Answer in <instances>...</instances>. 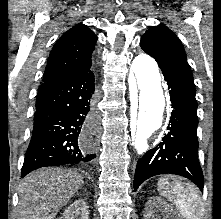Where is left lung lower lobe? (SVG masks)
Returning a JSON list of instances; mask_svg holds the SVG:
<instances>
[{
	"label": "left lung lower lobe",
	"instance_id": "0a47b994",
	"mask_svg": "<svg viewBox=\"0 0 221 219\" xmlns=\"http://www.w3.org/2000/svg\"><path fill=\"white\" fill-rule=\"evenodd\" d=\"M167 82L173 111L168 132L157 147L138 161L134 191L146 179L159 174H176L190 179L203 192L204 178L198 160L197 101L193 80L158 64Z\"/></svg>",
	"mask_w": 221,
	"mask_h": 219
}]
</instances>
